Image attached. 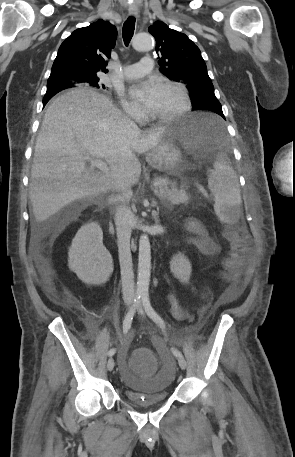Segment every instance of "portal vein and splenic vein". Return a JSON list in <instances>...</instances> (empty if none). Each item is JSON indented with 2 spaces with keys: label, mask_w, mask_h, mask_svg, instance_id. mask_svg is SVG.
Segmentation results:
<instances>
[{
  "label": "portal vein and splenic vein",
  "mask_w": 295,
  "mask_h": 457,
  "mask_svg": "<svg viewBox=\"0 0 295 457\" xmlns=\"http://www.w3.org/2000/svg\"><path fill=\"white\" fill-rule=\"evenodd\" d=\"M86 159L91 162L92 167H97L101 171H103L105 174H108L109 168L104 161L98 160V159H92L90 157H86ZM165 184H166V181H158V182H154L153 186L155 188H157L158 186L165 185Z\"/></svg>",
  "instance_id": "portal-vein-and-splenic-vein-1"
}]
</instances>
